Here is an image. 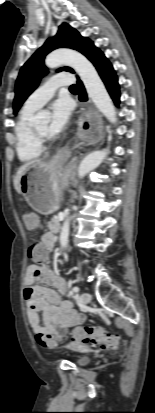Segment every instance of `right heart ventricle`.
Returning <instances> with one entry per match:
<instances>
[{"label":"right heart ventricle","mask_w":155,"mask_h":413,"mask_svg":"<svg viewBox=\"0 0 155 413\" xmlns=\"http://www.w3.org/2000/svg\"><path fill=\"white\" fill-rule=\"evenodd\" d=\"M35 109L24 106L15 125L16 153L20 161L31 162L42 154V145L32 132V118Z\"/></svg>","instance_id":"right-heart-ventricle-1"}]
</instances>
